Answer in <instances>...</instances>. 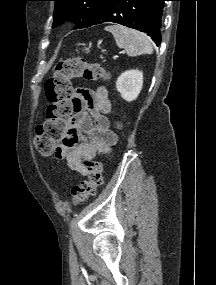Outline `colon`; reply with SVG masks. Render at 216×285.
Here are the masks:
<instances>
[{
    "label": "colon",
    "instance_id": "1",
    "mask_svg": "<svg viewBox=\"0 0 216 285\" xmlns=\"http://www.w3.org/2000/svg\"><path fill=\"white\" fill-rule=\"evenodd\" d=\"M74 78L108 79L109 73L100 64L89 63L80 57L70 58L57 64L53 76L45 84L46 97L49 101L47 120L37 127L34 139L37 150L44 156L56 151L76 110L72 86ZM83 163L88 170V177L72 187V201L75 205L93 196L103 183L102 164L93 159H86Z\"/></svg>",
    "mask_w": 216,
    "mask_h": 285
}]
</instances>
